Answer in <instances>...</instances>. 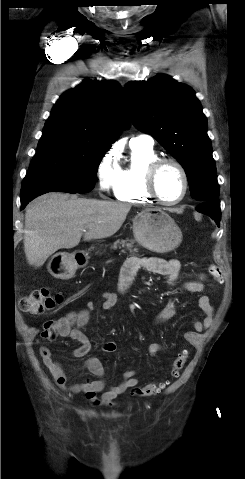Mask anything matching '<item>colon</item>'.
<instances>
[{"mask_svg": "<svg viewBox=\"0 0 245 479\" xmlns=\"http://www.w3.org/2000/svg\"><path fill=\"white\" fill-rule=\"evenodd\" d=\"M209 273L218 278L220 276V269L211 265L209 267ZM62 301V296L59 293H55L48 288H39L25 296L20 302V308L23 312L30 315H39L45 311L55 308ZM61 326L56 320H50L45 322L42 332V337L45 339H54L60 336ZM188 359V351L182 349L174 358L170 369V376L177 378L180 371L185 366ZM169 380H161L147 384L143 387L136 388L132 391V395L138 397H150L159 394L163 389L169 385Z\"/></svg>", "mask_w": 245, "mask_h": 479, "instance_id": "obj_1", "label": "colon"}]
</instances>
